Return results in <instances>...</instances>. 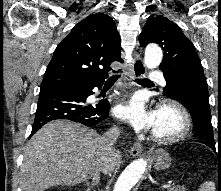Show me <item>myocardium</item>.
Returning a JSON list of instances; mask_svg holds the SVG:
<instances>
[{"label": "myocardium", "instance_id": "myocardium-1", "mask_svg": "<svg viewBox=\"0 0 221 191\" xmlns=\"http://www.w3.org/2000/svg\"><path fill=\"white\" fill-rule=\"evenodd\" d=\"M169 110L178 119V127L175 131L163 134L153 130L151 137L154 141L161 144H171L182 140L190 131L192 126L191 115L188 110L178 101L166 99L160 102L158 113Z\"/></svg>", "mask_w": 221, "mask_h": 191}]
</instances>
